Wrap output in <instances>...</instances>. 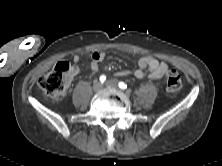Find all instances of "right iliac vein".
Here are the masks:
<instances>
[{
	"label": "right iliac vein",
	"instance_id": "63e3f726",
	"mask_svg": "<svg viewBox=\"0 0 222 166\" xmlns=\"http://www.w3.org/2000/svg\"><path fill=\"white\" fill-rule=\"evenodd\" d=\"M103 88V84L99 81L94 82L93 84V90L94 91H100Z\"/></svg>",
	"mask_w": 222,
	"mask_h": 166
}]
</instances>
